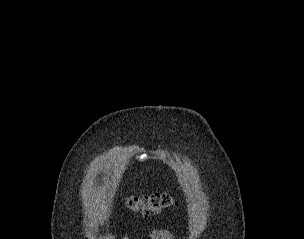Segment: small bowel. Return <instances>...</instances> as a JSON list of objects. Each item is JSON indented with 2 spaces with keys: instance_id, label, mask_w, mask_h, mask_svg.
<instances>
[{
  "instance_id": "1",
  "label": "small bowel",
  "mask_w": 304,
  "mask_h": 239,
  "mask_svg": "<svg viewBox=\"0 0 304 239\" xmlns=\"http://www.w3.org/2000/svg\"><path fill=\"white\" fill-rule=\"evenodd\" d=\"M150 239H177V237L171 233L169 230L166 229H154L150 232ZM110 239L117 238V235H112L109 237ZM124 239H129L128 237H125Z\"/></svg>"
}]
</instances>
